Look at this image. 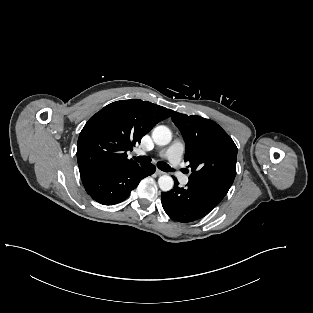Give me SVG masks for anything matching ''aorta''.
Here are the masks:
<instances>
[{"label": "aorta", "mask_w": 313, "mask_h": 313, "mask_svg": "<svg viewBox=\"0 0 313 313\" xmlns=\"http://www.w3.org/2000/svg\"><path fill=\"white\" fill-rule=\"evenodd\" d=\"M152 138L157 145L163 146L171 141L172 133L168 127L160 125L154 128ZM158 185L162 191L167 192L173 188L174 181L170 176L163 175L159 177Z\"/></svg>", "instance_id": "762f6f07"}]
</instances>
